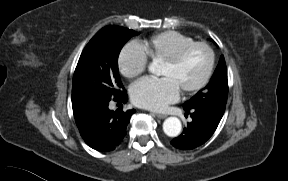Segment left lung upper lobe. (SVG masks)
<instances>
[{
  "label": "left lung upper lobe",
  "mask_w": 288,
  "mask_h": 181,
  "mask_svg": "<svg viewBox=\"0 0 288 181\" xmlns=\"http://www.w3.org/2000/svg\"><path fill=\"white\" fill-rule=\"evenodd\" d=\"M228 97L227 67L222 55L209 84L184 104V109L204 108L223 116Z\"/></svg>",
  "instance_id": "obj_1"
}]
</instances>
